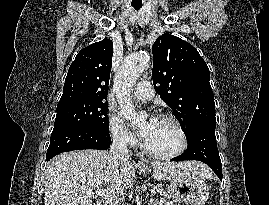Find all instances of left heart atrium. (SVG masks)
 Instances as JSON below:
<instances>
[{"mask_svg": "<svg viewBox=\"0 0 269 205\" xmlns=\"http://www.w3.org/2000/svg\"><path fill=\"white\" fill-rule=\"evenodd\" d=\"M156 121L157 119L155 117H150L148 121L139 129L138 133L143 140H146L149 137L156 124Z\"/></svg>", "mask_w": 269, "mask_h": 205, "instance_id": "left-heart-atrium-1", "label": "left heart atrium"}]
</instances>
